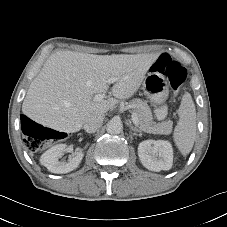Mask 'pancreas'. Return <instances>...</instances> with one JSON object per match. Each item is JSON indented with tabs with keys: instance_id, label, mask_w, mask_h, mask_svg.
I'll list each match as a JSON object with an SVG mask.
<instances>
[{
	"instance_id": "1",
	"label": "pancreas",
	"mask_w": 227,
	"mask_h": 227,
	"mask_svg": "<svg viewBox=\"0 0 227 227\" xmlns=\"http://www.w3.org/2000/svg\"><path fill=\"white\" fill-rule=\"evenodd\" d=\"M133 112L137 114L139 128L147 133L169 135L172 132V122L165 121L155 123L152 112L146 102L141 99H133L129 102Z\"/></svg>"
}]
</instances>
